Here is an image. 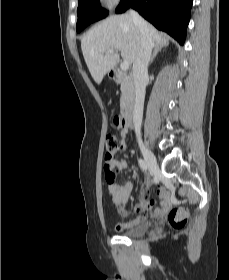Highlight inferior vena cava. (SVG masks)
<instances>
[{
  "instance_id": "1",
  "label": "inferior vena cava",
  "mask_w": 229,
  "mask_h": 280,
  "mask_svg": "<svg viewBox=\"0 0 229 280\" xmlns=\"http://www.w3.org/2000/svg\"><path fill=\"white\" fill-rule=\"evenodd\" d=\"M130 15L140 32V50L133 63V79L135 85L133 122L135 132L140 134L145 88L148 83V65L153 48V38L147 23L142 19V17L134 10L130 11Z\"/></svg>"
}]
</instances>
